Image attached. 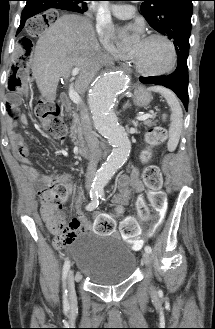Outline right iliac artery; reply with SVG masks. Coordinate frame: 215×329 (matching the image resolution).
I'll list each match as a JSON object with an SVG mask.
<instances>
[{"label": "right iliac artery", "mask_w": 215, "mask_h": 329, "mask_svg": "<svg viewBox=\"0 0 215 329\" xmlns=\"http://www.w3.org/2000/svg\"><path fill=\"white\" fill-rule=\"evenodd\" d=\"M99 194L97 189H91L90 190V198L91 202L86 206V210L92 211L96 209L99 205ZM70 268V261L66 260L63 266V272H62V280H63V288H64V294H63V299H64V306L68 307V300H67V289H66V278L67 274Z\"/></svg>", "instance_id": "1"}]
</instances>
